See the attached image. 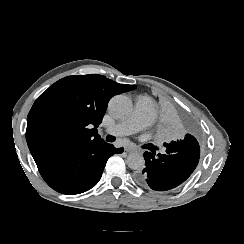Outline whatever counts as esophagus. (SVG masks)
<instances>
[{
	"mask_svg": "<svg viewBox=\"0 0 244 244\" xmlns=\"http://www.w3.org/2000/svg\"><path fill=\"white\" fill-rule=\"evenodd\" d=\"M124 150H125L126 152H128V153H131V152H134V151H135L134 148H132L131 146H125V147H124Z\"/></svg>",
	"mask_w": 244,
	"mask_h": 244,
	"instance_id": "1",
	"label": "esophagus"
}]
</instances>
